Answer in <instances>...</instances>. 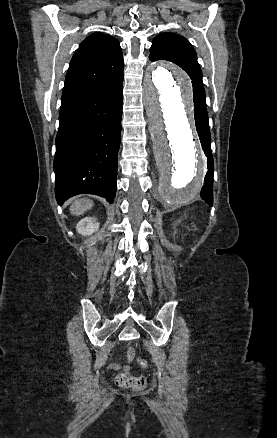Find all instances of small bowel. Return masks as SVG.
Wrapping results in <instances>:
<instances>
[{"instance_id": "c3829d8e", "label": "small bowel", "mask_w": 277, "mask_h": 438, "mask_svg": "<svg viewBox=\"0 0 277 438\" xmlns=\"http://www.w3.org/2000/svg\"><path fill=\"white\" fill-rule=\"evenodd\" d=\"M109 368H110L111 370H115V371H119L120 369H122L123 371H128V370H129V367H128V366H126V365L122 366V365L119 364V363H113V364H111V365L109 366Z\"/></svg>"}]
</instances>
